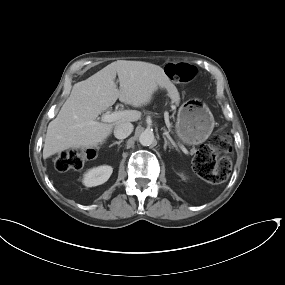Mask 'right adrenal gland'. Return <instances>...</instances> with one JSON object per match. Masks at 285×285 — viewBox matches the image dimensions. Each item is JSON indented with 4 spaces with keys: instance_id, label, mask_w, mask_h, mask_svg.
Instances as JSON below:
<instances>
[{
    "instance_id": "1",
    "label": "right adrenal gland",
    "mask_w": 285,
    "mask_h": 285,
    "mask_svg": "<svg viewBox=\"0 0 285 285\" xmlns=\"http://www.w3.org/2000/svg\"><path fill=\"white\" fill-rule=\"evenodd\" d=\"M123 142V140H120V141H115L114 143H112L111 145H110V147H112V146H114V145H120L121 143Z\"/></svg>"
}]
</instances>
